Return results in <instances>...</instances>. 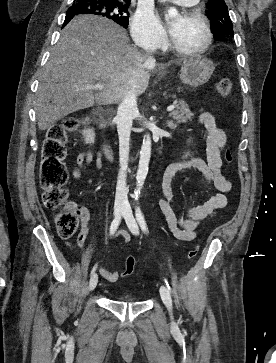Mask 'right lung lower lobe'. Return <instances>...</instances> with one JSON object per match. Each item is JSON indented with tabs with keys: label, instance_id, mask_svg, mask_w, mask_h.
<instances>
[{
	"label": "right lung lower lobe",
	"instance_id": "obj_1",
	"mask_svg": "<svg viewBox=\"0 0 276 363\" xmlns=\"http://www.w3.org/2000/svg\"><path fill=\"white\" fill-rule=\"evenodd\" d=\"M74 17V16H73ZM73 17H70V16H66L65 18V21H64V24H63V27L73 18Z\"/></svg>",
	"mask_w": 276,
	"mask_h": 363
}]
</instances>
